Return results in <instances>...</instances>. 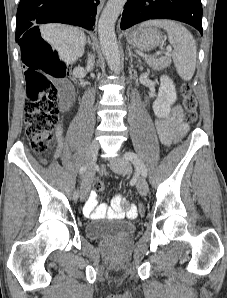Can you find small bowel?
I'll return each mask as SVG.
<instances>
[{"mask_svg":"<svg viewBox=\"0 0 227 298\" xmlns=\"http://www.w3.org/2000/svg\"><path fill=\"white\" fill-rule=\"evenodd\" d=\"M155 128L161 143L165 146H170L179 141L188 131V125L183 121L182 109L176 105L172 108L169 116L165 118H157L155 120ZM61 126L57 128V136L61 137ZM85 188V180L82 182V193ZM87 200L83 207V213L91 219H100L106 216H114L123 218L132 215V212H137L136 204H129L127 211L124 209V200L121 196L113 198L111 206L101 203L98 204V198L95 191L88 193Z\"/></svg>","mask_w":227,"mask_h":298,"instance_id":"obj_1","label":"small bowel"}]
</instances>
